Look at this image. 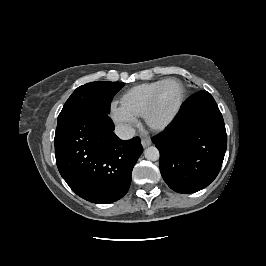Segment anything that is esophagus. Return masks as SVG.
Listing matches in <instances>:
<instances>
[{
    "instance_id": "1",
    "label": "esophagus",
    "mask_w": 266,
    "mask_h": 266,
    "mask_svg": "<svg viewBox=\"0 0 266 266\" xmlns=\"http://www.w3.org/2000/svg\"><path fill=\"white\" fill-rule=\"evenodd\" d=\"M141 144L144 148H146L147 146L151 145V140L147 137H144L141 139Z\"/></svg>"
}]
</instances>
